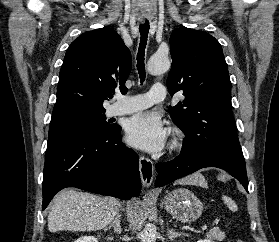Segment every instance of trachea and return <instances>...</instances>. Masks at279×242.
<instances>
[{
    "instance_id": "1",
    "label": "trachea",
    "mask_w": 279,
    "mask_h": 242,
    "mask_svg": "<svg viewBox=\"0 0 279 242\" xmlns=\"http://www.w3.org/2000/svg\"><path fill=\"white\" fill-rule=\"evenodd\" d=\"M149 28L150 26L148 21H146L144 24L140 25L139 27V32L141 37H140V43H139V48L137 53V70L140 76L141 83L144 82L146 77L144 56H145V49L147 45Z\"/></svg>"
}]
</instances>
